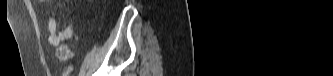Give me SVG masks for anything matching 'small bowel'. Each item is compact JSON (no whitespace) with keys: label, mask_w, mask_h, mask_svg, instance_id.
<instances>
[{"label":"small bowel","mask_w":333,"mask_h":76,"mask_svg":"<svg viewBox=\"0 0 333 76\" xmlns=\"http://www.w3.org/2000/svg\"><path fill=\"white\" fill-rule=\"evenodd\" d=\"M49 37L48 41L53 46L60 45L63 41L73 37L74 30L71 26L59 28L56 20L50 18L48 22Z\"/></svg>","instance_id":"c3829d8e"}]
</instances>
